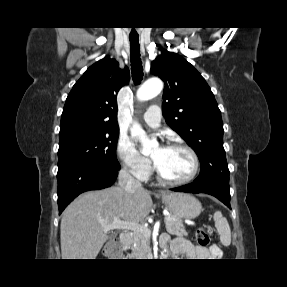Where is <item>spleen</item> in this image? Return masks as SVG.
Returning <instances> with one entry per match:
<instances>
[{
    "label": "spleen",
    "instance_id": "1",
    "mask_svg": "<svg viewBox=\"0 0 287 287\" xmlns=\"http://www.w3.org/2000/svg\"><path fill=\"white\" fill-rule=\"evenodd\" d=\"M215 227L220 234V241L224 246H229L231 243V230L227 219L221 212H216L213 216Z\"/></svg>",
    "mask_w": 287,
    "mask_h": 287
}]
</instances>
